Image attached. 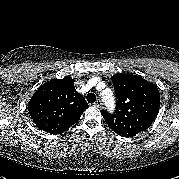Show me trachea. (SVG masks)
Instances as JSON below:
<instances>
[{
  "mask_svg": "<svg viewBox=\"0 0 179 179\" xmlns=\"http://www.w3.org/2000/svg\"><path fill=\"white\" fill-rule=\"evenodd\" d=\"M86 98H87L88 103H91V104L94 103L96 100V96L94 93H88Z\"/></svg>",
  "mask_w": 179,
  "mask_h": 179,
  "instance_id": "trachea-1",
  "label": "trachea"
}]
</instances>
